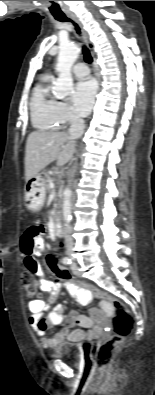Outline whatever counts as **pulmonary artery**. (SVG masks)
Instances as JSON below:
<instances>
[{"instance_id": "obj_1", "label": "pulmonary artery", "mask_w": 155, "mask_h": 395, "mask_svg": "<svg viewBox=\"0 0 155 395\" xmlns=\"http://www.w3.org/2000/svg\"><path fill=\"white\" fill-rule=\"evenodd\" d=\"M72 72L78 78H85L89 74V68L84 63H77L73 66Z\"/></svg>"}]
</instances>
